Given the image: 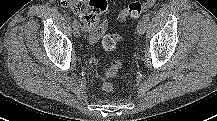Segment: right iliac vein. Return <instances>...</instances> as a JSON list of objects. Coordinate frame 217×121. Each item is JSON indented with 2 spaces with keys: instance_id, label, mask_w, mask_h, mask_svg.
I'll list each match as a JSON object with an SVG mask.
<instances>
[{
  "instance_id": "right-iliac-vein-1",
  "label": "right iliac vein",
  "mask_w": 217,
  "mask_h": 121,
  "mask_svg": "<svg viewBox=\"0 0 217 121\" xmlns=\"http://www.w3.org/2000/svg\"><path fill=\"white\" fill-rule=\"evenodd\" d=\"M73 33H74V36H76V37L80 36L79 26L73 27Z\"/></svg>"
}]
</instances>
